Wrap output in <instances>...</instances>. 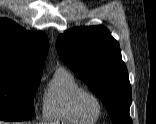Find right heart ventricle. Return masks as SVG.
<instances>
[{"instance_id":"1","label":"right heart ventricle","mask_w":156,"mask_h":124,"mask_svg":"<svg viewBox=\"0 0 156 124\" xmlns=\"http://www.w3.org/2000/svg\"><path fill=\"white\" fill-rule=\"evenodd\" d=\"M82 90L76 77L66 68L59 67L45 91L43 114L46 120L64 124H91L98 118H84L76 110L74 99Z\"/></svg>"}]
</instances>
